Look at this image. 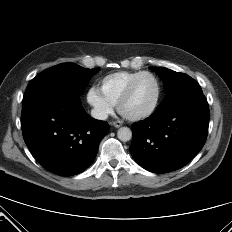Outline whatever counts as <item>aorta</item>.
Returning a JSON list of instances; mask_svg holds the SVG:
<instances>
[{"label": "aorta", "instance_id": "1", "mask_svg": "<svg viewBox=\"0 0 232 232\" xmlns=\"http://www.w3.org/2000/svg\"><path fill=\"white\" fill-rule=\"evenodd\" d=\"M117 137L123 142L129 141L132 138V131L128 127H121L117 132Z\"/></svg>", "mask_w": 232, "mask_h": 232}]
</instances>
